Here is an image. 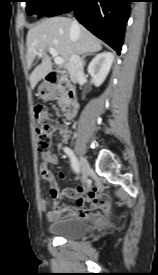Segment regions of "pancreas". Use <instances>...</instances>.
Wrapping results in <instances>:
<instances>
[{
    "label": "pancreas",
    "mask_w": 158,
    "mask_h": 275,
    "mask_svg": "<svg viewBox=\"0 0 158 275\" xmlns=\"http://www.w3.org/2000/svg\"><path fill=\"white\" fill-rule=\"evenodd\" d=\"M58 91H59V99H58V104H62V102H63V99H64V97H65V94H66V89L64 88V87H62V86H59L58 87Z\"/></svg>",
    "instance_id": "obj_1"
}]
</instances>
